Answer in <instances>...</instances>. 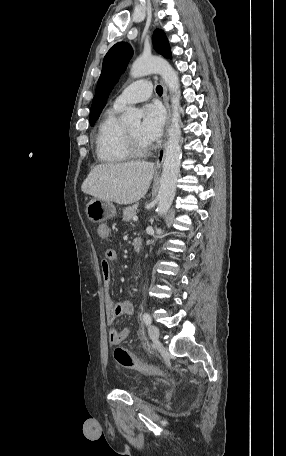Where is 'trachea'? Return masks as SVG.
I'll use <instances>...</instances> for the list:
<instances>
[{
    "instance_id": "3493384b",
    "label": "trachea",
    "mask_w": 286,
    "mask_h": 456,
    "mask_svg": "<svg viewBox=\"0 0 286 456\" xmlns=\"http://www.w3.org/2000/svg\"><path fill=\"white\" fill-rule=\"evenodd\" d=\"M156 92H157L158 95H162L163 88H162L160 85H158V86L156 87Z\"/></svg>"
}]
</instances>
